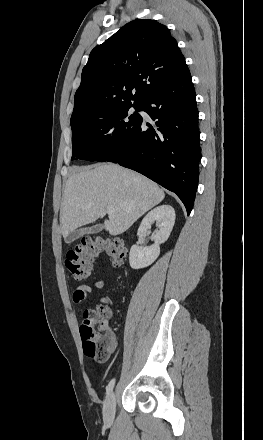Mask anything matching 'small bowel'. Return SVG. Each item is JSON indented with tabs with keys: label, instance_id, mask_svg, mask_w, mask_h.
<instances>
[{
	"label": "small bowel",
	"instance_id": "1",
	"mask_svg": "<svg viewBox=\"0 0 263 440\" xmlns=\"http://www.w3.org/2000/svg\"><path fill=\"white\" fill-rule=\"evenodd\" d=\"M105 285L106 282L103 279L95 280L90 284H80L74 289L72 294V300L75 304H81L88 299L89 295L93 290H102L104 289ZM115 347H116V343H114L110 352H112L115 349Z\"/></svg>",
	"mask_w": 263,
	"mask_h": 440
}]
</instances>
